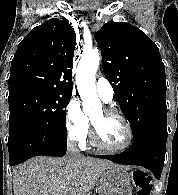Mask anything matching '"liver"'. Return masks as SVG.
Listing matches in <instances>:
<instances>
[{
  "label": "liver",
  "mask_w": 178,
  "mask_h": 195,
  "mask_svg": "<svg viewBox=\"0 0 178 195\" xmlns=\"http://www.w3.org/2000/svg\"><path fill=\"white\" fill-rule=\"evenodd\" d=\"M111 161L81 156L71 162L61 158L34 157L13 169L14 195H87Z\"/></svg>",
  "instance_id": "obj_1"
}]
</instances>
